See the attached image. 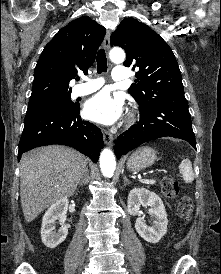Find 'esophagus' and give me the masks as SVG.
I'll use <instances>...</instances> for the list:
<instances>
[{
    "label": "esophagus",
    "mask_w": 221,
    "mask_h": 274,
    "mask_svg": "<svg viewBox=\"0 0 221 274\" xmlns=\"http://www.w3.org/2000/svg\"><path fill=\"white\" fill-rule=\"evenodd\" d=\"M110 36H111V32L107 30L104 41H103V46L106 51H109L110 49ZM102 133H103L104 142L107 145H112L113 139H114L113 135L105 129H102Z\"/></svg>",
    "instance_id": "obj_1"
}]
</instances>
